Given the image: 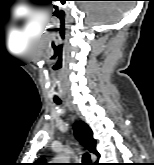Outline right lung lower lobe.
<instances>
[{"label":"right lung lower lobe","instance_id":"98d812e1","mask_svg":"<svg viewBox=\"0 0 154 165\" xmlns=\"http://www.w3.org/2000/svg\"><path fill=\"white\" fill-rule=\"evenodd\" d=\"M97 156H99V153L97 154ZM93 165H99V163H94Z\"/></svg>","mask_w":154,"mask_h":165}]
</instances>
